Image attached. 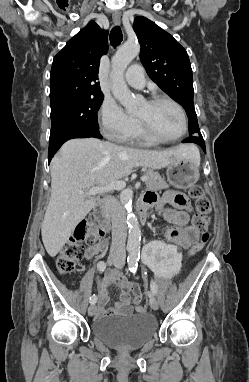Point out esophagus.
<instances>
[{"label":"esophagus","instance_id":"1","mask_svg":"<svg viewBox=\"0 0 249 382\" xmlns=\"http://www.w3.org/2000/svg\"><path fill=\"white\" fill-rule=\"evenodd\" d=\"M112 19H113V22L116 24V25H119L121 23V16H120V13L119 12H114L113 15H112Z\"/></svg>","mask_w":249,"mask_h":382}]
</instances>
